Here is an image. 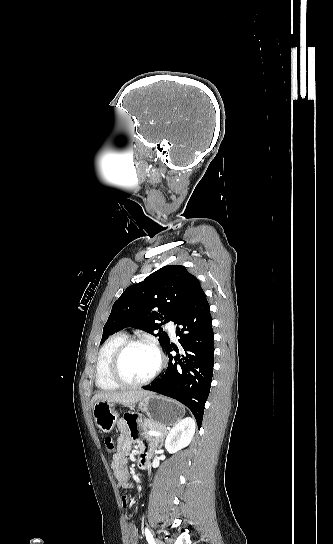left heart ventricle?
<instances>
[{
	"label": "left heart ventricle",
	"mask_w": 333,
	"mask_h": 544,
	"mask_svg": "<svg viewBox=\"0 0 333 544\" xmlns=\"http://www.w3.org/2000/svg\"><path fill=\"white\" fill-rule=\"evenodd\" d=\"M156 365L155 353L146 346L136 345L125 353L121 362V372L128 381L137 382L149 377Z\"/></svg>",
	"instance_id": "obj_1"
}]
</instances>
